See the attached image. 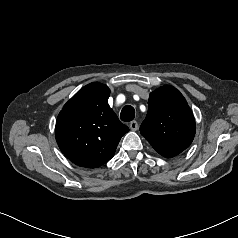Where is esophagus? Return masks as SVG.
I'll list each match as a JSON object with an SVG mask.
<instances>
[{
    "mask_svg": "<svg viewBox=\"0 0 238 238\" xmlns=\"http://www.w3.org/2000/svg\"><path fill=\"white\" fill-rule=\"evenodd\" d=\"M129 127L132 131H136L138 129V123L136 121H132L130 122Z\"/></svg>",
    "mask_w": 238,
    "mask_h": 238,
    "instance_id": "obj_1",
    "label": "esophagus"
}]
</instances>
